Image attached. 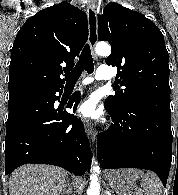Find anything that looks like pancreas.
Returning <instances> with one entry per match:
<instances>
[{
	"mask_svg": "<svg viewBox=\"0 0 178 195\" xmlns=\"http://www.w3.org/2000/svg\"><path fill=\"white\" fill-rule=\"evenodd\" d=\"M136 195H142L141 193H137Z\"/></svg>",
	"mask_w": 178,
	"mask_h": 195,
	"instance_id": "obj_1",
	"label": "pancreas"
}]
</instances>
